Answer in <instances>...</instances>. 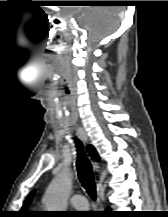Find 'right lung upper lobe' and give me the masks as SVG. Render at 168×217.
Segmentation results:
<instances>
[{"label": "right lung upper lobe", "instance_id": "right-lung-upper-lobe-1", "mask_svg": "<svg viewBox=\"0 0 168 217\" xmlns=\"http://www.w3.org/2000/svg\"><path fill=\"white\" fill-rule=\"evenodd\" d=\"M87 150H88V153H90L93 156V158L99 159V156H98V154H97V152H96V150H95V148L93 146L87 147ZM32 197H33V192H31L28 195V197L26 198V200H25V202L23 204V207L21 209V212H20L21 215L26 216V217L32 215L31 212L26 211V209L28 208V206L30 205V203L32 201Z\"/></svg>", "mask_w": 168, "mask_h": 217}]
</instances>
